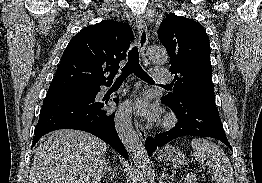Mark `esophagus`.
<instances>
[{
	"instance_id": "obj_1",
	"label": "esophagus",
	"mask_w": 262,
	"mask_h": 183,
	"mask_svg": "<svg viewBox=\"0 0 262 183\" xmlns=\"http://www.w3.org/2000/svg\"><path fill=\"white\" fill-rule=\"evenodd\" d=\"M136 25H137V29L139 33V49H140V53L142 57V62L144 66H147L148 60L145 55V50L148 44V30H147L146 22L142 16L136 17ZM134 123H135V128L137 130L138 136L140 137L142 141H145L147 138V133L144 127L142 126V124L138 122L137 119H135Z\"/></svg>"
}]
</instances>
